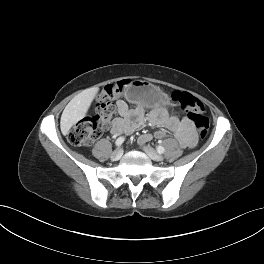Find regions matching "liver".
Listing matches in <instances>:
<instances>
[{
	"label": "liver",
	"instance_id": "obj_1",
	"mask_svg": "<svg viewBox=\"0 0 264 264\" xmlns=\"http://www.w3.org/2000/svg\"><path fill=\"white\" fill-rule=\"evenodd\" d=\"M98 91V87L85 89L67 104L60 121V128L63 135H66L70 128L86 115Z\"/></svg>",
	"mask_w": 264,
	"mask_h": 264
}]
</instances>
